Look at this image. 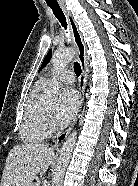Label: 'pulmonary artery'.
<instances>
[{
	"label": "pulmonary artery",
	"instance_id": "obj_1",
	"mask_svg": "<svg viewBox=\"0 0 138 186\" xmlns=\"http://www.w3.org/2000/svg\"><path fill=\"white\" fill-rule=\"evenodd\" d=\"M57 79L63 83H67V84H72L75 80V76L74 73L70 70H65L63 72H61L58 76ZM43 82L45 84L49 83L50 80L49 79H45L43 80Z\"/></svg>",
	"mask_w": 138,
	"mask_h": 186
}]
</instances>
